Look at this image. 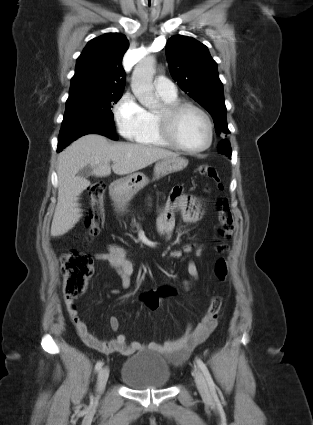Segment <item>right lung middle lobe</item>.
Masks as SVG:
<instances>
[{
    "instance_id": "right-lung-middle-lobe-1",
    "label": "right lung middle lobe",
    "mask_w": 313,
    "mask_h": 425,
    "mask_svg": "<svg viewBox=\"0 0 313 425\" xmlns=\"http://www.w3.org/2000/svg\"><path fill=\"white\" fill-rule=\"evenodd\" d=\"M123 92H101V93H79L69 95L66 101L64 116L70 112H85L88 114H99L106 119H113L111 108L122 97Z\"/></svg>"
}]
</instances>
